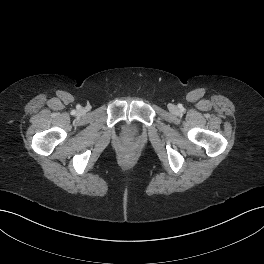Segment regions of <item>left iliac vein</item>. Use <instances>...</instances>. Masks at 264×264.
<instances>
[{"label":"left iliac vein","instance_id":"1","mask_svg":"<svg viewBox=\"0 0 264 264\" xmlns=\"http://www.w3.org/2000/svg\"><path fill=\"white\" fill-rule=\"evenodd\" d=\"M170 110H171L172 112H175V111L177 110V108H176L174 105H171V106H170Z\"/></svg>","mask_w":264,"mask_h":264}]
</instances>
